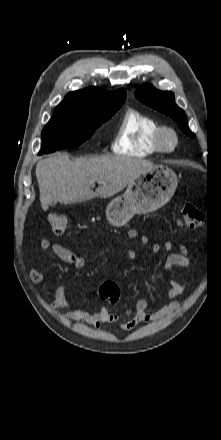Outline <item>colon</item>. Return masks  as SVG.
Listing matches in <instances>:
<instances>
[{"mask_svg":"<svg viewBox=\"0 0 221 440\" xmlns=\"http://www.w3.org/2000/svg\"><path fill=\"white\" fill-rule=\"evenodd\" d=\"M49 222L56 234H62L66 231L70 218L63 212H52L49 214ZM203 223V214L195 206L186 204L181 209V225L187 228H198ZM98 294L102 299H108L111 301L109 304L111 307L114 305L112 302L116 301L119 297L120 290L116 283L112 281L104 282L98 288Z\"/></svg>","mask_w":221,"mask_h":440,"instance_id":"5ec220e1","label":"colon"}]
</instances>
